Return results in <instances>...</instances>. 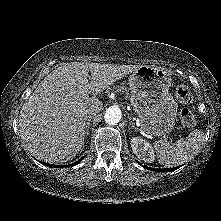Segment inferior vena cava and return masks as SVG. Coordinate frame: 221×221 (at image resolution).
Wrapping results in <instances>:
<instances>
[{"instance_id": "obj_1", "label": "inferior vena cava", "mask_w": 221, "mask_h": 221, "mask_svg": "<svg viewBox=\"0 0 221 221\" xmlns=\"http://www.w3.org/2000/svg\"><path fill=\"white\" fill-rule=\"evenodd\" d=\"M102 107H98V106H92L89 109H87V114L89 116L91 115H96L97 113H99V111L101 110Z\"/></svg>"}]
</instances>
